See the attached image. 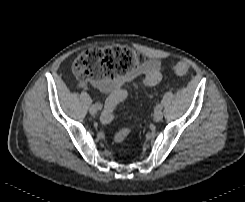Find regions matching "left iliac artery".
I'll return each instance as SVG.
<instances>
[{
  "label": "left iliac artery",
  "mask_w": 245,
  "mask_h": 202,
  "mask_svg": "<svg viewBox=\"0 0 245 202\" xmlns=\"http://www.w3.org/2000/svg\"><path fill=\"white\" fill-rule=\"evenodd\" d=\"M161 109H162L161 104H157L156 107H155V110L157 111V110H161Z\"/></svg>",
  "instance_id": "left-iliac-artery-1"
}]
</instances>
